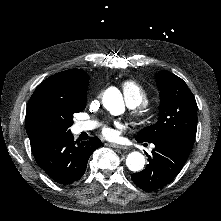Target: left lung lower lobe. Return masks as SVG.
<instances>
[{
  "instance_id": "obj_1",
  "label": "left lung lower lobe",
  "mask_w": 221,
  "mask_h": 221,
  "mask_svg": "<svg viewBox=\"0 0 221 221\" xmlns=\"http://www.w3.org/2000/svg\"><path fill=\"white\" fill-rule=\"evenodd\" d=\"M138 142H148L136 139ZM155 148L148 156L146 168L132 175V180L144 191H153L172 181L181 171L190 153L183 151L168 140H153Z\"/></svg>"
}]
</instances>
